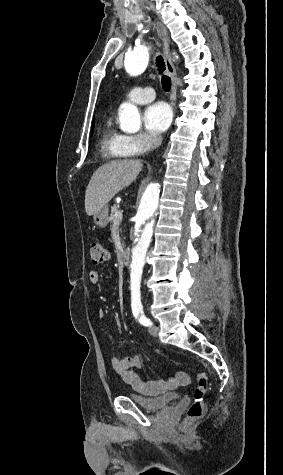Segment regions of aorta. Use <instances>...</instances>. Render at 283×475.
<instances>
[{
    "mask_svg": "<svg viewBox=\"0 0 283 475\" xmlns=\"http://www.w3.org/2000/svg\"><path fill=\"white\" fill-rule=\"evenodd\" d=\"M149 47L142 45L125 55L124 66L131 76L142 74L148 66ZM120 128L135 133L141 127L140 113L136 106L123 103L119 108ZM159 182H152L140 189L132 218V252L129 266L132 306L141 305V279L146 254L161 218L164 190Z\"/></svg>",
    "mask_w": 283,
    "mask_h": 475,
    "instance_id": "obj_1",
    "label": "aorta"
}]
</instances>
